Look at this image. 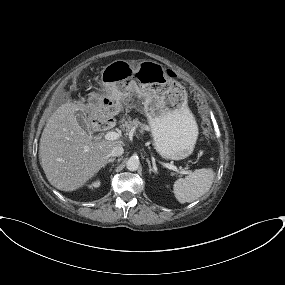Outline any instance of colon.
Returning a JSON list of instances; mask_svg holds the SVG:
<instances>
[{
  "label": "colon",
  "mask_w": 285,
  "mask_h": 285,
  "mask_svg": "<svg viewBox=\"0 0 285 285\" xmlns=\"http://www.w3.org/2000/svg\"><path fill=\"white\" fill-rule=\"evenodd\" d=\"M192 93L195 96V98L199 101L201 110L204 111V104H203V99H202L201 93H199L195 89H193Z\"/></svg>",
  "instance_id": "1"
}]
</instances>
